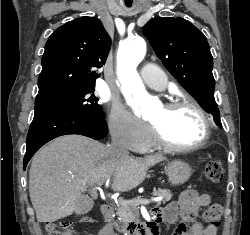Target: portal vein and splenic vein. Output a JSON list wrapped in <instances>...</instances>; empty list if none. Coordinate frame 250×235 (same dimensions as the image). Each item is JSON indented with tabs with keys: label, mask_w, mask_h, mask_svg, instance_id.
<instances>
[{
	"label": "portal vein and splenic vein",
	"mask_w": 250,
	"mask_h": 235,
	"mask_svg": "<svg viewBox=\"0 0 250 235\" xmlns=\"http://www.w3.org/2000/svg\"><path fill=\"white\" fill-rule=\"evenodd\" d=\"M108 183V182H107ZM162 200V197H159V198H155V199H153V201H156V202H159V201H161ZM132 202V200H129V201H122V203H131ZM150 200H148V199H141L140 201H139V203L140 204H144V205H148V204H150Z\"/></svg>",
	"instance_id": "18ae733b"
}]
</instances>
